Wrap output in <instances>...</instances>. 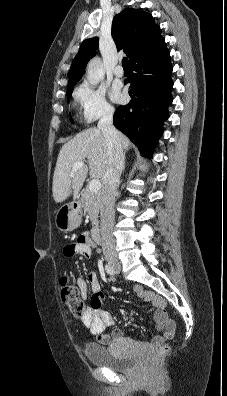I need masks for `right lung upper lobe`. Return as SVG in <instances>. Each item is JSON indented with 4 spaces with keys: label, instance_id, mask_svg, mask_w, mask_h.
I'll return each mask as SVG.
<instances>
[{
    "label": "right lung upper lobe",
    "instance_id": "obj_1",
    "mask_svg": "<svg viewBox=\"0 0 227 396\" xmlns=\"http://www.w3.org/2000/svg\"><path fill=\"white\" fill-rule=\"evenodd\" d=\"M111 34L117 49H124L130 62L143 50L163 40L160 27L155 24L152 15L133 8H126L114 17ZM97 48L98 37L86 39L81 44L69 71L67 91L73 89L80 79L87 62L95 56Z\"/></svg>",
    "mask_w": 227,
    "mask_h": 396
}]
</instances>
